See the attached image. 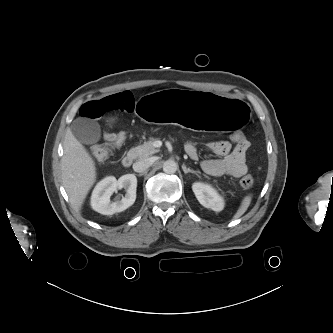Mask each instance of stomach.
<instances>
[{
	"mask_svg": "<svg viewBox=\"0 0 333 333\" xmlns=\"http://www.w3.org/2000/svg\"><path fill=\"white\" fill-rule=\"evenodd\" d=\"M137 113L150 123H175L214 133H236L252 119L250 107L214 92L185 88L156 91L137 102Z\"/></svg>",
	"mask_w": 333,
	"mask_h": 333,
	"instance_id": "obj_1",
	"label": "stomach"
}]
</instances>
